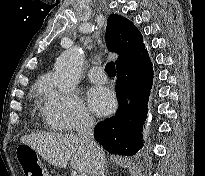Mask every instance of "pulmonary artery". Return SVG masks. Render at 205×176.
Here are the masks:
<instances>
[{
    "label": "pulmonary artery",
    "mask_w": 205,
    "mask_h": 176,
    "mask_svg": "<svg viewBox=\"0 0 205 176\" xmlns=\"http://www.w3.org/2000/svg\"><path fill=\"white\" fill-rule=\"evenodd\" d=\"M87 77L91 82L98 84L105 83L107 80L106 75L99 66L91 67L87 72Z\"/></svg>",
    "instance_id": "1"
}]
</instances>
